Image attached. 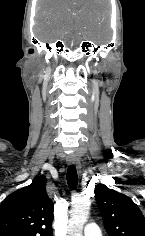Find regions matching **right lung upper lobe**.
Returning <instances> with one entry per match:
<instances>
[{
  "mask_svg": "<svg viewBox=\"0 0 145 236\" xmlns=\"http://www.w3.org/2000/svg\"><path fill=\"white\" fill-rule=\"evenodd\" d=\"M46 178L11 193L0 205V236H52L53 203Z\"/></svg>",
  "mask_w": 145,
  "mask_h": 236,
  "instance_id": "cb5924a9",
  "label": "right lung upper lobe"
}]
</instances>
